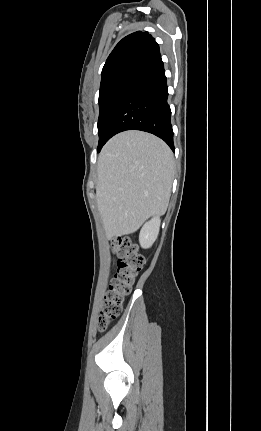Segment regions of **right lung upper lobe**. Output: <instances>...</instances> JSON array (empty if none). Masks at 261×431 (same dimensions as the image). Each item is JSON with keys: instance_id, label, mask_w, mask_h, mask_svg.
<instances>
[{"instance_id": "right-lung-upper-lobe-1", "label": "right lung upper lobe", "mask_w": 261, "mask_h": 431, "mask_svg": "<svg viewBox=\"0 0 261 431\" xmlns=\"http://www.w3.org/2000/svg\"><path fill=\"white\" fill-rule=\"evenodd\" d=\"M160 57L159 45L148 32H134L123 38L107 58L101 84L127 71H141Z\"/></svg>"}]
</instances>
